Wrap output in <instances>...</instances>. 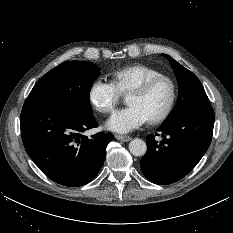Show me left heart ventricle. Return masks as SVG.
<instances>
[{
  "mask_svg": "<svg viewBox=\"0 0 233 233\" xmlns=\"http://www.w3.org/2000/svg\"><path fill=\"white\" fill-rule=\"evenodd\" d=\"M170 98V86L167 82H159L145 94H128V105L137 106L148 120L159 115L166 107Z\"/></svg>",
  "mask_w": 233,
  "mask_h": 233,
  "instance_id": "b2bd125f",
  "label": "left heart ventricle"
}]
</instances>
